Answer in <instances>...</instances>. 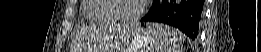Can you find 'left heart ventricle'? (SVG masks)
Returning a JSON list of instances; mask_svg holds the SVG:
<instances>
[{"instance_id": "b2bd125f", "label": "left heart ventricle", "mask_w": 261, "mask_h": 52, "mask_svg": "<svg viewBox=\"0 0 261 52\" xmlns=\"http://www.w3.org/2000/svg\"><path fill=\"white\" fill-rule=\"evenodd\" d=\"M140 0H118L115 2L114 15L116 17H130L140 8Z\"/></svg>"}]
</instances>
